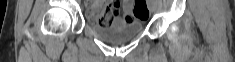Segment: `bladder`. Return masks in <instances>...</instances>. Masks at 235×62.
I'll use <instances>...</instances> for the list:
<instances>
[{
	"mask_svg": "<svg viewBox=\"0 0 235 62\" xmlns=\"http://www.w3.org/2000/svg\"><path fill=\"white\" fill-rule=\"evenodd\" d=\"M90 29L99 39L108 43L119 44L128 42L141 34L143 24L140 19H117L108 26L90 23Z\"/></svg>",
	"mask_w": 235,
	"mask_h": 62,
	"instance_id": "obj_1",
	"label": "bladder"
}]
</instances>
